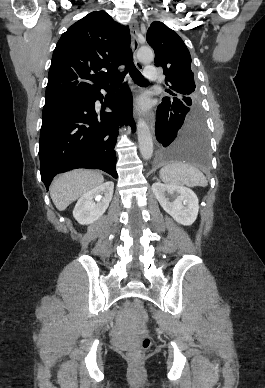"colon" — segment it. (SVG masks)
<instances>
[{
	"instance_id": "obj_1",
	"label": "colon",
	"mask_w": 265,
	"mask_h": 388,
	"mask_svg": "<svg viewBox=\"0 0 265 388\" xmlns=\"http://www.w3.org/2000/svg\"><path fill=\"white\" fill-rule=\"evenodd\" d=\"M133 306H134V311L137 314L139 320L142 323H146L147 320H148V316H147V313H146V310H145L144 301L142 299H136L134 301ZM150 344H151L150 338H148V337L143 338L140 341L139 347L133 348V349L130 350L131 355L132 356H138L140 354L141 350L148 349Z\"/></svg>"
}]
</instances>
